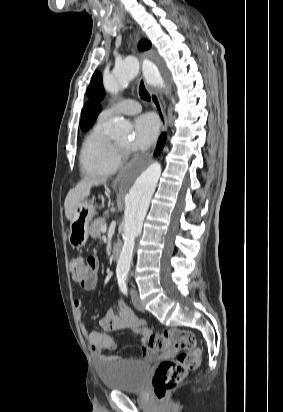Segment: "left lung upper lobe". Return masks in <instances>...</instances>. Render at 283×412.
Instances as JSON below:
<instances>
[{"label":"left lung upper lobe","mask_w":283,"mask_h":412,"mask_svg":"<svg viewBox=\"0 0 283 412\" xmlns=\"http://www.w3.org/2000/svg\"><path fill=\"white\" fill-rule=\"evenodd\" d=\"M150 47L151 42L147 40H141L138 44V48L140 50H147ZM86 93L87 96L91 99V101L87 102L82 110V130H87L92 126L98 112L100 111V105L96 102V100H101L104 97V89L101 82V75L99 73H95L92 76L90 85L87 88Z\"/></svg>","instance_id":"left-lung-upper-lobe-1"}]
</instances>
